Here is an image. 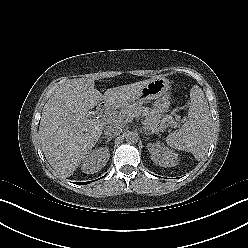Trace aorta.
I'll list each match as a JSON object with an SVG mask.
<instances>
[{"instance_id":"aorta-1","label":"aorta","mask_w":248,"mask_h":248,"mask_svg":"<svg viewBox=\"0 0 248 248\" xmlns=\"http://www.w3.org/2000/svg\"><path fill=\"white\" fill-rule=\"evenodd\" d=\"M128 143H137L139 140V135L136 131H129L125 137Z\"/></svg>"}]
</instances>
